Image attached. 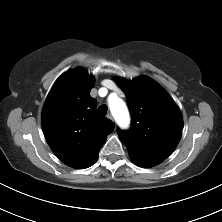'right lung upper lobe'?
Masks as SVG:
<instances>
[{
  "label": "right lung upper lobe",
  "instance_id": "cb5924a9",
  "mask_svg": "<svg viewBox=\"0 0 222 222\" xmlns=\"http://www.w3.org/2000/svg\"><path fill=\"white\" fill-rule=\"evenodd\" d=\"M95 78L83 68L68 70L54 83L42 110V128L56 156L70 167L93 165L114 123L96 112L90 96Z\"/></svg>",
  "mask_w": 222,
  "mask_h": 222
}]
</instances>
